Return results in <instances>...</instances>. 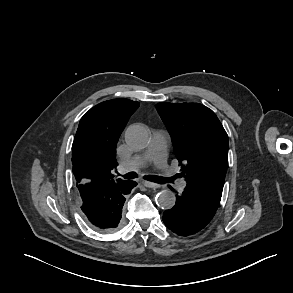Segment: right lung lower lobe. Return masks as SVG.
Wrapping results in <instances>:
<instances>
[{
    "mask_svg": "<svg viewBox=\"0 0 293 293\" xmlns=\"http://www.w3.org/2000/svg\"><path fill=\"white\" fill-rule=\"evenodd\" d=\"M137 185L134 181H93L77 183L81 210L86 221L100 231H113L121 225L126 195Z\"/></svg>",
    "mask_w": 293,
    "mask_h": 293,
    "instance_id": "obj_1",
    "label": "right lung lower lobe"
}]
</instances>
